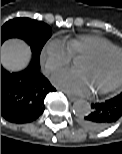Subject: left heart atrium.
<instances>
[{"instance_id":"left-heart-atrium-1","label":"left heart atrium","mask_w":122,"mask_h":154,"mask_svg":"<svg viewBox=\"0 0 122 154\" xmlns=\"http://www.w3.org/2000/svg\"><path fill=\"white\" fill-rule=\"evenodd\" d=\"M52 80L57 87L73 95L86 96L93 91L86 73L81 70H62L54 74Z\"/></svg>"}]
</instances>
